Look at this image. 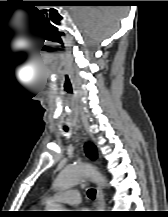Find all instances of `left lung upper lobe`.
Segmentation results:
<instances>
[{"label":"left lung upper lobe","mask_w":168,"mask_h":217,"mask_svg":"<svg viewBox=\"0 0 168 217\" xmlns=\"http://www.w3.org/2000/svg\"><path fill=\"white\" fill-rule=\"evenodd\" d=\"M85 152L91 159L97 158L96 147L92 143L85 144Z\"/></svg>","instance_id":"left-lung-upper-lobe-1"}]
</instances>
